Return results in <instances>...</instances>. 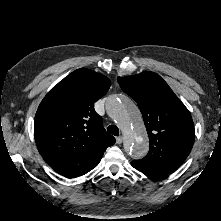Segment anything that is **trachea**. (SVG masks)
<instances>
[{"mask_svg":"<svg viewBox=\"0 0 221 221\" xmlns=\"http://www.w3.org/2000/svg\"><path fill=\"white\" fill-rule=\"evenodd\" d=\"M107 131L109 133H111L112 135L114 136H118L119 135V129L116 125H110L108 128H107Z\"/></svg>","mask_w":221,"mask_h":221,"instance_id":"1","label":"trachea"}]
</instances>
